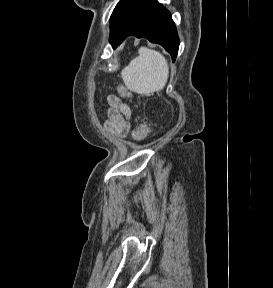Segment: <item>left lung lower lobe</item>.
<instances>
[{
  "label": "left lung lower lobe",
  "instance_id": "1",
  "mask_svg": "<svg viewBox=\"0 0 273 288\" xmlns=\"http://www.w3.org/2000/svg\"><path fill=\"white\" fill-rule=\"evenodd\" d=\"M130 35L145 37L150 42L162 45L175 61L179 48L176 27L170 12L157 0H131L110 43L116 48Z\"/></svg>",
  "mask_w": 273,
  "mask_h": 288
}]
</instances>
